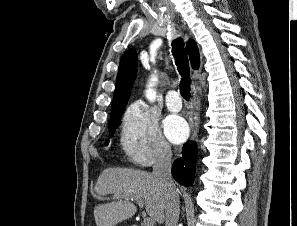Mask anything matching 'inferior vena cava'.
Returning a JSON list of instances; mask_svg holds the SVG:
<instances>
[{"label":"inferior vena cava","instance_id":"obj_1","mask_svg":"<svg viewBox=\"0 0 297 226\" xmlns=\"http://www.w3.org/2000/svg\"><path fill=\"white\" fill-rule=\"evenodd\" d=\"M171 158L169 145H162L156 154L152 173L165 192V226H177L180 212L179 196L171 175Z\"/></svg>","mask_w":297,"mask_h":226}]
</instances>
